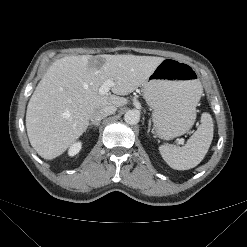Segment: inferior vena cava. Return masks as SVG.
Returning <instances> with one entry per match:
<instances>
[{
    "label": "inferior vena cava",
    "mask_w": 247,
    "mask_h": 247,
    "mask_svg": "<svg viewBox=\"0 0 247 247\" xmlns=\"http://www.w3.org/2000/svg\"><path fill=\"white\" fill-rule=\"evenodd\" d=\"M115 106H108L102 110H95L90 114V120L94 123H99L102 119L108 115H112L116 112Z\"/></svg>",
    "instance_id": "inferior-vena-cava-1"
}]
</instances>
